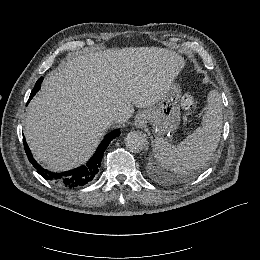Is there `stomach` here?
Segmentation results:
<instances>
[{"instance_id":"1","label":"stomach","mask_w":260,"mask_h":260,"mask_svg":"<svg viewBox=\"0 0 260 260\" xmlns=\"http://www.w3.org/2000/svg\"><path fill=\"white\" fill-rule=\"evenodd\" d=\"M180 94V86L173 83L170 90L153 108L138 113L147 114L148 122L151 123L155 136L171 139L178 129L181 121Z\"/></svg>"}]
</instances>
